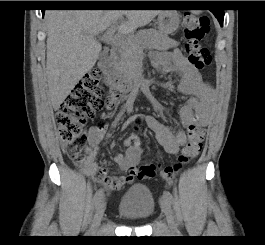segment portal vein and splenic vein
<instances>
[{
  "label": "portal vein and splenic vein",
  "mask_w": 265,
  "mask_h": 245,
  "mask_svg": "<svg viewBox=\"0 0 265 245\" xmlns=\"http://www.w3.org/2000/svg\"><path fill=\"white\" fill-rule=\"evenodd\" d=\"M115 31V26L110 27L101 37V40L115 45H125L130 42V38L126 37L123 33L115 34Z\"/></svg>",
  "instance_id": "1"
}]
</instances>
